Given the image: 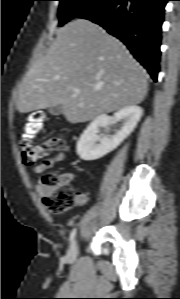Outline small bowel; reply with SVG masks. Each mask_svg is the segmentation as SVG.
Masks as SVG:
<instances>
[{
	"label": "small bowel",
	"instance_id": "1",
	"mask_svg": "<svg viewBox=\"0 0 180 299\" xmlns=\"http://www.w3.org/2000/svg\"><path fill=\"white\" fill-rule=\"evenodd\" d=\"M65 159L64 153H58L53 157L47 159L43 164L37 165L33 168V172L36 174L43 173L46 169L53 167L55 164L62 162ZM68 182H71L74 178L73 174L66 173L63 175ZM36 190L40 195H44L46 192V187L42 183H38L36 185ZM78 204H83L86 200V196L84 194H78Z\"/></svg>",
	"mask_w": 180,
	"mask_h": 299
}]
</instances>
